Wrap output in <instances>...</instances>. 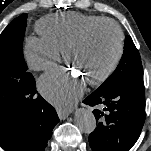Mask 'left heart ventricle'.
Instances as JSON below:
<instances>
[{
    "instance_id": "b2bd125f",
    "label": "left heart ventricle",
    "mask_w": 151,
    "mask_h": 151,
    "mask_svg": "<svg viewBox=\"0 0 151 151\" xmlns=\"http://www.w3.org/2000/svg\"><path fill=\"white\" fill-rule=\"evenodd\" d=\"M117 51V36L110 26L94 30L77 48L69 52V65L89 81L101 75L113 61Z\"/></svg>"
}]
</instances>
